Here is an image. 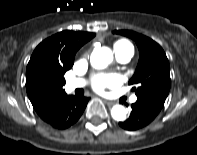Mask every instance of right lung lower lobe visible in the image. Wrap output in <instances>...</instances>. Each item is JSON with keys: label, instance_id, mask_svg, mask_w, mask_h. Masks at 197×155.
Here are the masks:
<instances>
[{"label": "right lung lower lobe", "instance_id": "98d812e1", "mask_svg": "<svg viewBox=\"0 0 197 155\" xmlns=\"http://www.w3.org/2000/svg\"><path fill=\"white\" fill-rule=\"evenodd\" d=\"M88 101L86 97L66 96L45 121L54 128L66 129L80 118Z\"/></svg>", "mask_w": 197, "mask_h": 155}]
</instances>
